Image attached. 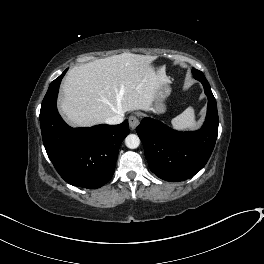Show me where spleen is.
Masks as SVG:
<instances>
[{
  "label": "spleen",
  "mask_w": 264,
  "mask_h": 264,
  "mask_svg": "<svg viewBox=\"0 0 264 264\" xmlns=\"http://www.w3.org/2000/svg\"><path fill=\"white\" fill-rule=\"evenodd\" d=\"M172 127L176 130H189L195 129L197 127V122L195 120V111L193 107H188L180 115L176 116L171 121Z\"/></svg>",
  "instance_id": "spleen-1"
}]
</instances>
